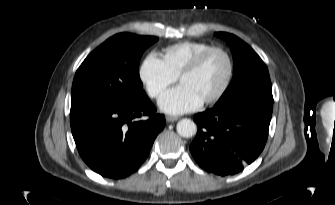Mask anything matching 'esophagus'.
I'll list each match as a JSON object with an SVG mask.
<instances>
[{
  "mask_svg": "<svg viewBox=\"0 0 335 205\" xmlns=\"http://www.w3.org/2000/svg\"><path fill=\"white\" fill-rule=\"evenodd\" d=\"M178 120V117H176V116H166V121L167 122H174V121H177Z\"/></svg>",
  "mask_w": 335,
  "mask_h": 205,
  "instance_id": "obj_1",
  "label": "esophagus"
}]
</instances>
